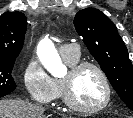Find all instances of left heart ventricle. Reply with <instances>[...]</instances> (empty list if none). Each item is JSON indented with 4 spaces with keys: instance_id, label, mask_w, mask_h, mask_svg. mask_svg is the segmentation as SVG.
I'll return each mask as SVG.
<instances>
[{
    "instance_id": "1",
    "label": "left heart ventricle",
    "mask_w": 133,
    "mask_h": 118,
    "mask_svg": "<svg viewBox=\"0 0 133 118\" xmlns=\"http://www.w3.org/2000/svg\"><path fill=\"white\" fill-rule=\"evenodd\" d=\"M68 73L64 76L67 77ZM73 95L82 106L94 107L101 104L106 96L105 87L99 74L93 69H85L74 80Z\"/></svg>"
}]
</instances>
